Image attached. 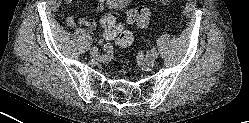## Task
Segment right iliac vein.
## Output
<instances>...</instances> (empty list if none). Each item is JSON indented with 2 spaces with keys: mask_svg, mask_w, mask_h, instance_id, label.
Instances as JSON below:
<instances>
[{
  "mask_svg": "<svg viewBox=\"0 0 249 123\" xmlns=\"http://www.w3.org/2000/svg\"><path fill=\"white\" fill-rule=\"evenodd\" d=\"M90 53H91V55H93V56H97V55L99 54V50H98V48H96V47H92V48L90 49Z\"/></svg>",
  "mask_w": 249,
  "mask_h": 123,
  "instance_id": "obj_1",
  "label": "right iliac vein"
}]
</instances>
